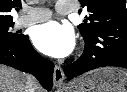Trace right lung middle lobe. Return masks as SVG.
<instances>
[{
  "instance_id": "obj_1",
  "label": "right lung middle lobe",
  "mask_w": 127,
  "mask_h": 92,
  "mask_svg": "<svg viewBox=\"0 0 127 92\" xmlns=\"http://www.w3.org/2000/svg\"><path fill=\"white\" fill-rule=\"evenodd\" d=\"M14 23L0 25V40L17 42L24 38V35L11 32V27Z\"/></svg>"
}]
</instances>
